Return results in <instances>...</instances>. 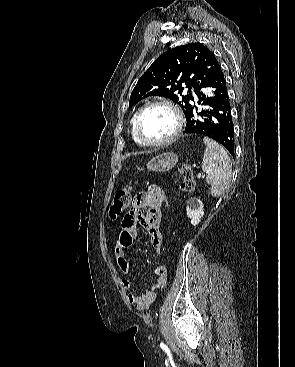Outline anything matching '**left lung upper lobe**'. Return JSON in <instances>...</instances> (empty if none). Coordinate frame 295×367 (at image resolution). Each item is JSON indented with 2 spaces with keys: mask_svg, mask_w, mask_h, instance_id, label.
<instances>
[{
  "mask_svg": "<svg viewBox=\"0 0 295 367\" xmlns=\"http://www.w3.org/2000/svg\"><path fill=\"white\" fill-rule=\"evenodd\" d=\"M218 61L214 54L201 43L181 45L160 55L140 77L133 89L129 106L148 96H163L178 103L186 115L191 100V87L195 93L207 86ZM189 94L182 95L184 87Z\"/></svg>",
  "mask_w": 295,
  "mask_h": 367,
  "instance_id": "obj_1",
  "label": "left lung upper lobe"
}]
</instances>
